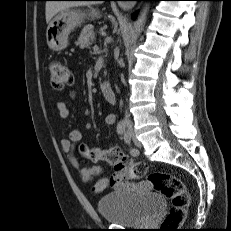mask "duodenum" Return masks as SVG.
Wrapping results in <instances>:
<instances>
[{
    "label": "duodenum",
    "instance_id": "1",
    "mask_svg": "<svg viewBox=\"0 0 231 231\" xmlns=\"http://www.w3.org/2000/svg\"><path fill=\"white\" fill-rule=\"evenodd\" d=\"M100 88L106 101L109 102L110 104H115L117 97L114 89L108 83L105 82L101 84Z\"/></svg>",
    "mask_w": 231,
    "mask_h": 231
}]
</instances>
